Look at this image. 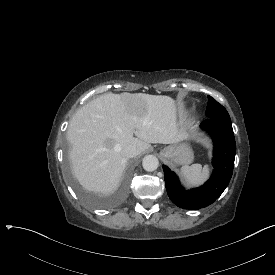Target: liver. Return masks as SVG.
Returning <instances> with one entry per match:
<instances>
[{
  "instance_id": "obj_1",
  "label": "liver",
  "mask_w": 275,
  "mask_h": 275,
  "mask_svg": "<svg viewBox=\"0 0 275 275\" xmlns=\"http://www.w3.org/2000/svg\"><path fill=\"white\" fill-rule=\"evenodd\" d=\"M187 137L185 128L176 125L171 97L103 94L81 107L69 123L72 173L86 190L107 196L120 185L128 162L126 146L134 145L140 154L150 143L170 144Z\"/></svg>"
}]
</instances>
